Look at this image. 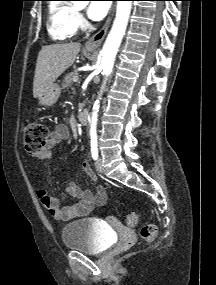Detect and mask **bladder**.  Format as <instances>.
I'll list each match as a JSON object with an SVG mask.
<instances>
[{"mask_svg": "<svg viewBox=\"0 0 216 285\" xmlns=\"http://www.w3.org/2000/svg\"><path fill=\"white\" fill-rule=\"evenodd\" d=\"M62 240L70 250L101 254L113 245L115 237L106 225L96 219L81 218L63 227Z\"/></svg>", "mask_w": 216, "mask_h": 285, "instance_id": "obj_1", "label": "bladder"}]
</instances>
